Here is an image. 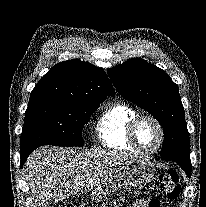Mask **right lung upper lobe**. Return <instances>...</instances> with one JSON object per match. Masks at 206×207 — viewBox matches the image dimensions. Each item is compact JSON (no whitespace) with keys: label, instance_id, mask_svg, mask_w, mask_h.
Here are the masks:
<instances>
[{"label":"right lung upper lobe","instance_id":"1","mask_svg":"<svg viewBox=\"0 0 206 207\" xmlns=\"http://www.w3.org/2000/svg\"><path fill=\"white\" fill-rule=\"evenodd\" d=\"M114 89L106 73L94 65L73 59L58 63L32 90L29 102L59 100L80 104H99Z\"/></svg>","mask_w":206,"mask_h":207}]
</instances>
